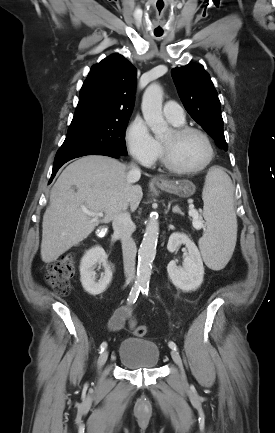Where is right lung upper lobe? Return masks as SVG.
<instances>
[{
    "label": "right lung upper lobe",
    "mask_w": 275,
    "mask_h": 433,
    "mask_svg": "<svg viewBox=\"0 0 275 433\" xmlns=\"http://www.w3.org/2000/svg\"><path fill=\"white\" fill-rule=\"evenodd\" d=\"M136 69L122 55L113 54L92 66L79 96L73 120L126 119L132 113Z\"/></svg>",
    "instance_id": "obj_1"
}]
</instances>
